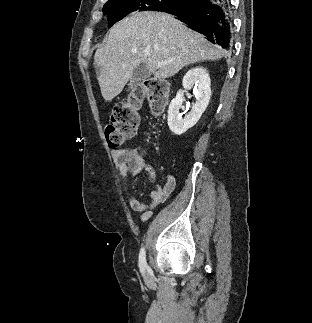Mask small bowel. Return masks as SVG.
I'll list each match as a JSON object with an SVG mask.
<instances>
[{"instance_id": "small-bowel-1", "label": "small bowel", "mask_w": 312, "mask_h": 323, "mask_svg": "<svg viewBox=\"0 0 312 323\" xmlns=\"http://www.w3.org/2000/svg\"><path fill=\"white\" fill-rule=\"evenodd\" d=\"M116 168L120 176L124 179L129 176H136L141 172L148 173L150 179L156 178L155 170L147 164L145 160L136 152L128 149H118L112 152ZM176 186L175 178L172 175H166L162 185H158L149 195L147 201L137 198H129V206L133 211L140 212V220L147 221L151 216L153 209L159 203L165 201L173 192Z\"/></svg>"}]
</instances>
